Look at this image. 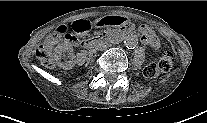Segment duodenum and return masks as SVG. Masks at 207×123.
I'll return each instance as SVG.
<instances>
[{
  "label": "duodenum",
  "instance_id": "410a0bca",
  "mask_svg": "<svg viewBox=\"0 0 207 123\" xmlns=\"http://www.w3.org/2000/svg\"><path fill=\"white\" fill-rule=\"evenodd\" d=\"M127 31H130V29L123 30L120 32L104 33V34L97 35L96 37L86 41L84 46L86 48H91L98 45L99 43L115 42L119 40Z\"/></svg>",
  "mask_w": 207,
  "mask_h": 123
}]
</instances>
